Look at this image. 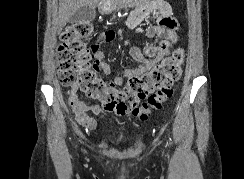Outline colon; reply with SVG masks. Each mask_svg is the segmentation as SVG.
<instances>
[{"instance_id":"1","label":"colon","mask_w":244,"mask_h":179,"mask_svg":"<svg viewBox=\"0 0 244 179\" xmlns=\"http://www.w3.org/2000/svg\"><path fill=\"white\" fill-rule=\"evenodd\" d=\"M93 24L68 26L61 34L59 46V78L64 86H77L89 98L104 104V109L116 115L131 112L140 120H146L173 96V85L182 74L184 52L177 48L162 62L144 74L128 77L121 90L110 87L99 75L97 64L85 43L93 33ZM143 93H150L145 106H136ZM87 125L92 122L85 119Z\"/></svg>"}]
</instances>
